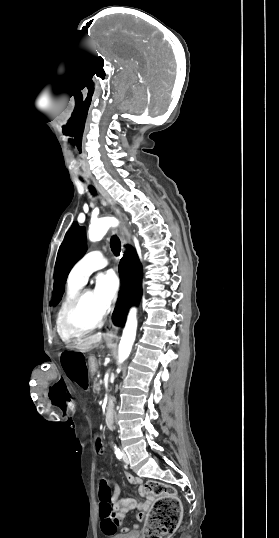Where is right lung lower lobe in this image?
<instances>
[{
  "mask_svg": "<svg viewBox=\"0 0 279 538\" xmlns=\"http://www.w3.org/2000/svg\"><path fill=\"white\" fill-rule=\"evenodd\" d=\"M122 288L113 313V321L121 325L128 308L137 303L142 295L141 264L137 255L129 249L119 264Z\"/></svg>",
  "mask_w": 279,
  "mask_h": 538,
  "instance_id": "right-lung-lower-lobe-1",
  "label": "right lung lower lobe"
}]
</instances>
